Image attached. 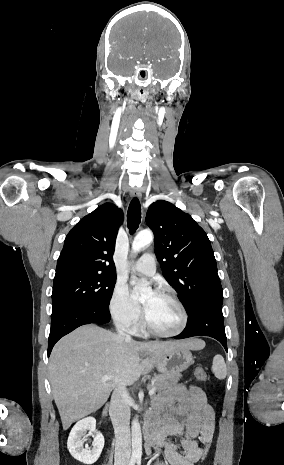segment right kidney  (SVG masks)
<instances>
[{
    "label": "right kidney",
    "mask_w": 284,
    "mask_h": 465,
    "mask_svg": "<svg viewBox=\"0 0 284 465\" xmlns=\"http://www.w3.org/2000/svg\"><path fill=\"white\" fill-rule=\"evenodd\" d=\"M87 431H89L88 435H86ZM89 435L94 437L92 449H90V451L84 449V443L87 441L85 437H89ZM67 447L72 457L80 461V463H85V465H93V463H96L104 447V437L102 433L96 431V421L94 417H86V419H82V421H78V423L74 425L68 437Z\"/></svg>",
    "instance_id": "right-kidney-1"
}]
</instances>
